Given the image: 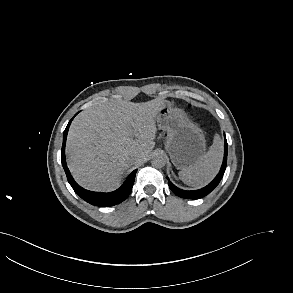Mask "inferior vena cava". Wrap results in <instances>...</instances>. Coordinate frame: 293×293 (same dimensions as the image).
I'll use <instances>...</instances> for the list:
<instances>
[{"label":"inferior vena cava","instance_id":"1","mask_svg":"<svg viewBox=\"0 0 293 293\" xmlns=\"http://www.w3.org/2000/svg\"><path fill=\"white\" fill-rule=\"evenodd\" d=\"M131 164H137L140 162V157L138 155H133L129 158Z\"/></svg>","mask_w":293,"mask_h":293}]
</instances>
